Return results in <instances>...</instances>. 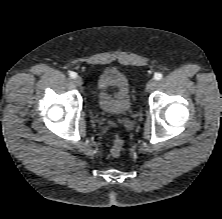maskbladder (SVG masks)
Instances as JSON below:
<instances>
[{
	"label": "bladder",
	"instance_id": "bladder-1",
	"mask_svg": "<svg viewBox=\"0 0 222 219\" xmlns=\"http://www.w3.org/2000/svg\"><path fill=\"white\" fill-rule=\"evenodd\" d=\"M96 99L99 108L110 115L125 116L132 109L130 85L119 70H103L96 81Z\"/></svg>",
	"mask_w": 222,
	"mask_h": 219
}]
</instances>
